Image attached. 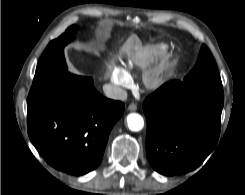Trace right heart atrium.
<instances>
[{"mask_svg":"<svg viewBox=\"0 0 245 195\" xmlns=\"http://www.w3.org/2000/svg\"><path fill=\"white\" fill-rule=\"evenodd\" d=\"M110 81L118 88H126L130 86V76L121 68L112 66L110 71Z\"/></svg>","mask_w":245,"mask_h":195,"instance_id":"d8ad5b80","label":"right heart atrium"}]
</instances>
